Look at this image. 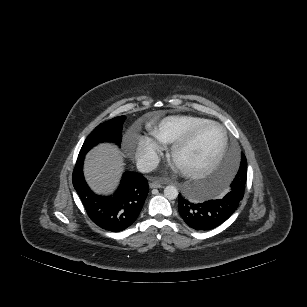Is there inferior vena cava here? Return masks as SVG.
<instances>
[{"instance_id":"obj_1","label":"inferior vena cava","mask_w":307,"mask_h":307,"mask_svg":"<svg viewBox=\"0 0 307 307\" xmlns=\"http://www.w3.org/2000/svg\"><path fill=\"white\" fill-rule=\"evenodd\" d=\"M159 163V158L157 155H146L140 157L137 160V169L142 173H148L153 171Z\"/></svg>"}]
</instances>
